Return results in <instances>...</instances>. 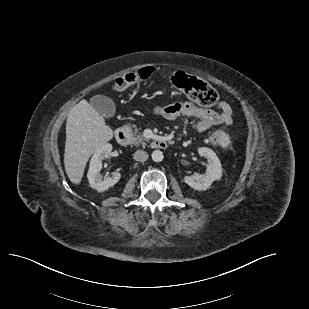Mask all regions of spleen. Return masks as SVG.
Listing matches in <instances>:
<instances>
[{
    "instance_id": "spleen-1",
    "label": "spleen",
    "mask_w": 309,
    "mask_h": 309,
    "mask_svg": "<svg viewBox=\"0 0 309 309\" xmlns=\"http://www.w3.org/2000/svg\"><path fill=\"white\" fill-rule=\"evenodd\" d=\"M221 145H222V146H226V145H227V143H226V142H223Z\"/></svg>"
}]
</instances>
